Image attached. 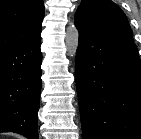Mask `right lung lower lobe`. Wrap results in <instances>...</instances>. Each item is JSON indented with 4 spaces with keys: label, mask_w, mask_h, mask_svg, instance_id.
I'll return each mask as SVG.
<instances>
[{
    "label": "right lung lower lobe",
    "mask_w": 141,
    "mask_h": 139,
    "mask_svg": "<svg viewBox=\"0 0 141 139\" xmlns=\"http://www.w3.org/2000/svg\"><path fill=\"white\" fill-rule=\"evenodd\" d=\"M41 36L0 50V132L38 139Z\"/></svg>",
    "instance_id": "right-lung-lower-lobe-1"
}]
</instances>
